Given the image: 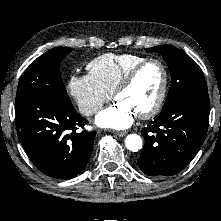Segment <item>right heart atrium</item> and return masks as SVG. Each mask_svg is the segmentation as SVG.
I'll return each mask as SVG.
<instances>
[{
  "label": "right heart atrium",
  "mask_w": 221,
  "mask_h": 221,
  "mask_svg": "<svg viewBox=\"0 0 221 221\" xmlns=\"http://www.w3.org/2000/svg\"><path fill=\"white\" fill-rule=\"evenodd\" d=\"M67 91L80 113L88 117L97 113L111 98V93L89 73L71 75L67 83Z\"/></svg>",
  "instance_id": "right-heart-atrium-1"
}]
</instances>
